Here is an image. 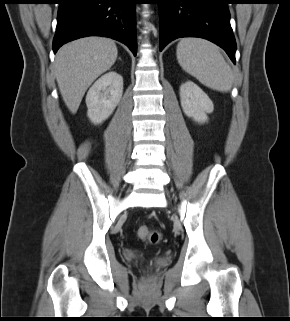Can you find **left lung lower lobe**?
<instances>
[{"instance_id": "1", "label": "left lung lower lobe", "mask_w": 290, "mask_h": 321, "mask_svg": "<svg viewBox=\"0 0 290 321\" xmlns=\"http://www.w3.org/2000/svg\"><path fill=\"white\" fill-rule=\"evenodd\" d=\"M160 51L172 40L199 37L222 47L235 64L236 42L230 26V0H158Z\"/></svg>"}]
</instances>
